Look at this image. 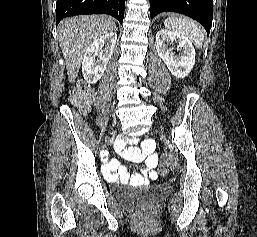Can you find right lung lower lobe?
Listing matches in <instances>:
<instances>
[{"instance_id":"98d812e1","label":"right lung lower lobe","mask_w":257,"mask_h":237,"mask_svg":"<svg viewBox=\"0 0 257 237\" xmlns=\"http://www.w3.org/2000/svg\"><path fill=\"white\" fill-rule=\"evenodd\" d=\"M125 0H57L56 26L65 17L83 14H108L123 22Z\"/></svg>"}]
</instances>
